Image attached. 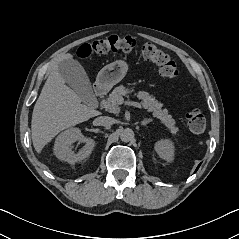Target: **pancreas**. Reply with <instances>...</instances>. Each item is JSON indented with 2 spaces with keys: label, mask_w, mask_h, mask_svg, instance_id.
<instances>
[{
  "label": "pancreas",
  "mask_w": 239,
  "mask_h": 239,
  "mask_svg": "<svg viewBox=\"0 0 239 239\" xmlns=\"http://www.w3.org/2000/svg\"><path fill=\"white\" fill-rule=\"evenodd\" d=\"M131 92V89L123 85L116 87L109 97L103 101V107L111 113H118L120 110L119 99ZM135 95L141 100L142 106L148 111L153 112V115L161 120L172 135H177L179 128L175 126V120L168 113V110L162 109L163 104L161 102L145 91H139Z\"/></svg>",
  "instance_id": "cf45deb5"
}]
</instances>
